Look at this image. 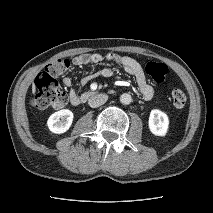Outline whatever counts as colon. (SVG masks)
Segmentation results:
<instances>
[{"label":"colon","mask_w":213,"mask_h":213,"mask_svg":"<svg viewBox=\"0 0 213 213\" xmlns=\"http://www.w3.org/2000/svg\"><path fill=\"white\" fill-rule=\"evenodd\" d=\"M70 68L68 59H58L48 64L37 76L36 92L31 99V104L36 109H61L67 103V96L62 91L56 77L63 75ZM145 70L147 74L157 83L164 81L168 68L165 64L148 62ZM173 106L182 109L186 104V95L179 89L174 88L171 92Z\"/></svg>","instance_id":"5ec220e1"}]
</instances>
